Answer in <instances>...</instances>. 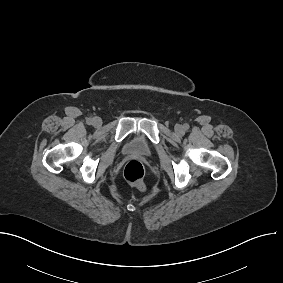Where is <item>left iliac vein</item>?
Instances as JSON below:
<instances>
[{
    "label": "left iliac vein",
    "instance_id": "left-iliac-vein-1",
    "mask_svg": "<svg viewBox=\"0 0 283 283\" xmlns=\"http://www.w3.org/2000/svg\"><path fill=\"white\" fill-rule=\"evenodd\" d=\"M175 132H176L177 134L182 133V132H183V127H182L181 125H176V126H175Z\"/></svg>",
    "mask_w": 283,
    "mask_h": 283
}]
</instances>
